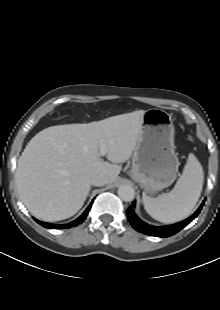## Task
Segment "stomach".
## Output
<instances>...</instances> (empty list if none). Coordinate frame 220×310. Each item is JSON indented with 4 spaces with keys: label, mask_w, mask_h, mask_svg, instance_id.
Wrapping results in <instances>:
<instances>
[{
    "label": "stomach",
    "mask_w": 220,
    "mask_h": 310,
    "mask_svg": "<svg viewBox=\"0 0 220 310\" xmlns=\"http://www.w3.org/2000/svg\"><path fill=\"white\" fill-rule=\"evenodd\" d=\"M179 165L171 115L161 109L147 110L132 156L131 177L146 193L154 194L175 181Z\"/></svg>",
    "instance_id": "1"
}]
</instances>
